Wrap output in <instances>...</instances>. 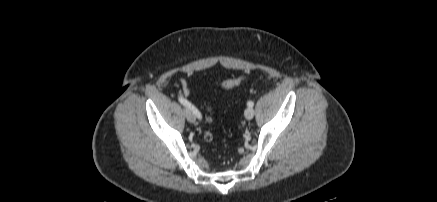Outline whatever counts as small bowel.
<instances>
[{"mask_svg": "<svg viewBox=\"0 0 437 202\" xmlns=\"http://www.w3.org/2000/svg\"><path fill=\"white\" fill-rule=\"evenodd\" d=\"M180 83H181V86H182L183 95L185 97H187L189 95V89H188V86H187V82H186V80L184 78H182Z\"/></svg>", "mask_w": 437, "mask_h": 202, "instance_id": "1", "label": "small bowel"}]
</instances>
